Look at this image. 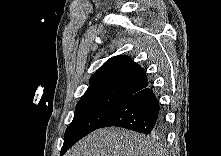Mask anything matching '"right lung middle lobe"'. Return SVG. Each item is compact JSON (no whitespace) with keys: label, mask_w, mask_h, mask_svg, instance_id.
<instances>
[{"label":"right lung middle lobe","mask_w":221,"mask_h":156,"mask_svg":"<svg viewBox=\"0 0 221 156\" xmlns=\"http://www.w3.org/2000/svg\"><path fill=\"white\" fill-rule=\"evenodd\" d=\"M124 101L125 99L112 97L82 98L77 103L73 121L65 131L61 156L82 137L100 128L101 124Z\"/></svg>","instance_id":"1"}]
</instances>
